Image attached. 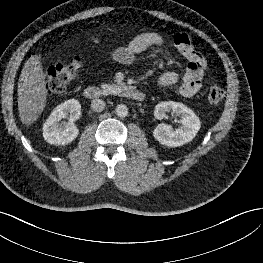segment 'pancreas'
Returning a JSON list of instances; mask_svg holds the SVG:
<instances>
[{"label":"pancreas","instance_id":"cf45deb5","mask_svg":"<svg viewBox=\"0 0 263 263\" xmlns=\"http://www.w3.org/2000/svg\"><path fill=\"white\" fill-rule=\"evenodd\" d=\"M102 88V93L104 95H109V94H117L121 90V86L117 84H107L103 83L101 84Z\"/></svg>","mask_w":263,"mask_h":263}]
</instances>
